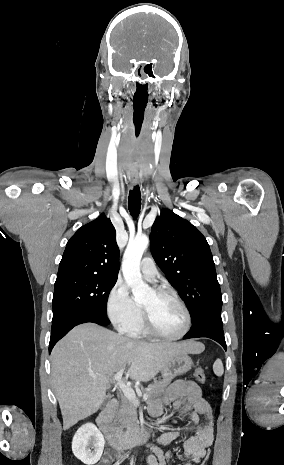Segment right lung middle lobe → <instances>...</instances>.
<instances>
[{"label":"right lung middle lobe","mask_w":284,"mask_h":465,"mask_svg":"<svg viewBox=\"0 0 284 465\" xmlns=\"http://www.w3.org/2000/svg\"><path fill=\"white\" fill-rule=\"evenodd\" d=\"M116 278L74 275L57 278L53 295V319L73 310L106 315V303Z\"/></svg>","instance_id":"dd1d6c3e"}]
</instances>
